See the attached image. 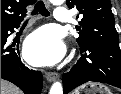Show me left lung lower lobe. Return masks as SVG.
<instances>
[{
    "label": "left lung lower lobe",
    "instance_id": "1",
    "mask_svg": "<svg viewBox=\"0 0 121 94\" xmlns=\"http://www.w3.org/2000/svg\"><path fill=\"white\" fill-rule=\"evenodd\" d=\"M81 58L63 74L64 94L88 81L107 83L121 89V50L103 44L80 47Z\"/></svg>",
    "mask_w": 121,
    "mask_h": 94
}]
</instances>
